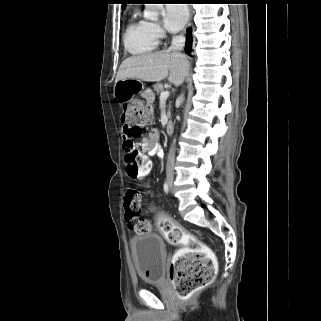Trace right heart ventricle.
<instances>
[{
    "mask_svg": "<svg viewBox=\"0 0 321 321\" xmlns=\"http://www.w3.org/2000/svg\"><path fill=\"white\" fill-rule=\"evenodd\" d=\"M123 42L125 49L132 55H143L154 51L158 46V38L151 32L149 22L134 13L129 19Z\"/></svg>",
    "mask_w": 321,
    "mask_h": 321,
    "instance_id": "e07e8e85",
    "label": "right heart ventricle"
}]
</instances>
